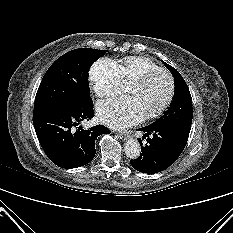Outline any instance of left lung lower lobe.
I'll return each mask as SVG.
<instances>
[{"label": "left lung lower lobe", "mask_w": 233, "mask_h": 233, "mask_svg": "<svg viewBox=\"0 0 233 233\" xmlns=\"http://www.w3.org/2000/svg\"><path fill=\"white\" fill-rule=\"evenodd\" d=\"M138 131L145 133L143 138L147 137V144L141 146L142 153L130 163L134 169L148 174L161 172L172 165L188 140L174 129L160 124L139 128Z\"/></svg>", "instance_id": "1"}]
</instances>
